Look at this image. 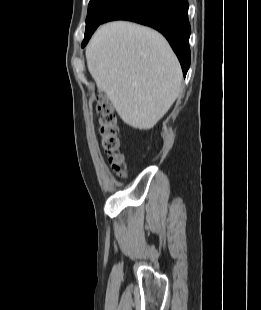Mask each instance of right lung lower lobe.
Returning <instances> with one entry per match:
<instances>
[{"label": "right lung lower lobe", "mask_w": 261, "mask_h": 310, "mask_svg": "<svg viewBox=\"0 0 261 310\" xmlns=\"http://www.w3.org/2000/svg\"><path fill=\"white\" fill-rule=\"evenodd\" d=\"M130 20L155 28L161 32L176 53L186 75L190 66L187 0H126L102 22ZM96 30V29H95ZM95 30L86 33L82 47L89 41Z\"/></svg>", "instance_id": "98d812e1"}]
</instances>
